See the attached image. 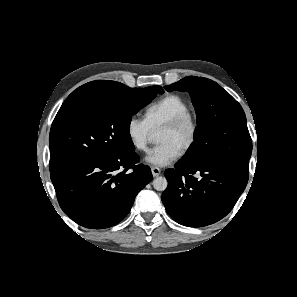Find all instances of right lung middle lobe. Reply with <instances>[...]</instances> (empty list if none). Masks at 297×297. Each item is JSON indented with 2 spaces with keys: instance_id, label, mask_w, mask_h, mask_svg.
Returning <instances> with one entry per match:
<instances>
[{
  "instance_id": "right-lung-middle-lobe-1",
  "label": "right lung middle lobe",
  "mask_w": 297,
  "mask_h": 297,
  "mask_svg": "<svg viewBox=\"0 0 297 297\" xmlns=\"http://www.w3.org/2000/svg\"><path fill=\"white\" fill-rule=\"evenodd\" d=\"M108 94L61 107L50 130V172L77 159L135 150L131 117L159 93L160 86L129 88L105 81Z\"/></svg>"
}]
</instances>
